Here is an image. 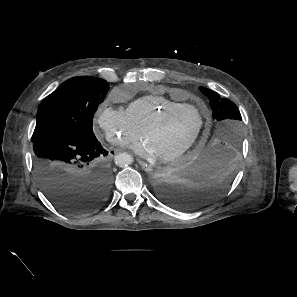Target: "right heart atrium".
I'll use <instances>...</instances> for the list:
<instances>
[{
	"label": "right heart atrium",
	"mask_w": 297,
	"mask_h": 297,
	"mask_svg": "<svg viewBox=\"0 0 297 297\" xmlns=\"http://www.w3.org/2000/svg\"><path fill=\"white\" fill-rule=\"evenodd\" d=\"M95 122L106 140L120 147H127L141 133L126 111L109 103H104L98 108Z\"/></svg>",
	"instance_id": "obj_1"
}]
</instances>
